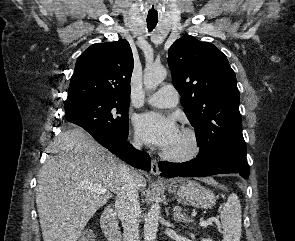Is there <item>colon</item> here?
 I'll list each match as a JSON object with an SVG mask.
<instances>
[{
    "label": "colon",
    "mask_w": 295,
    "mask_h": 241,
    "mask_svg": "<svg viewBox=\"0 0 295 241\" xmlns=\"http://www.w3.org/2000/svg\"><path fill=\"white\" fill-rule=\"evenodd\" d=\"M80 241H92V237L90 235H85Z\"/></svg>",
    "instance_id": "obj_1"
}]
</instances>
